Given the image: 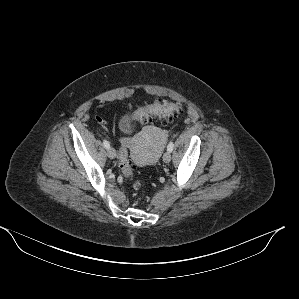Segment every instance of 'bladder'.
<instances>
[{
    "label": "bladder",
    "instance_id": "obj_1",
    "mask_svg": "<svg viewBox=\"0 0 299 299\" xmlns=\"http://www.w3.org/2000/svg\"><path fill=\"white\" fill-rule=\"evenodd\" d=\"M119 128L123 134L125 135L130 134L133 132L134 129L133 122L128 116L124 115L120 118Z\"/></svg>",
    "mask_w": 299,
    "mask_h": 299
}]
</instances>
